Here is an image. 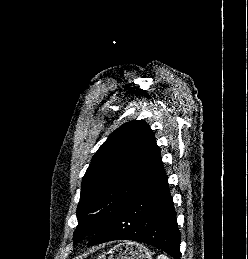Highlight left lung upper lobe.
<instances>
[{"mask_svg": "<svg viewBox=\"0 0 248 259\" xmlns=\"http://www.w3.org/2000/svg\"><path fill=\"white\" fill-rule=\"evenodd\" d=\"M154 133L128 122L100 146L82 181L74 244L101 231L122 210L166 177Z\"/></svg>", "mask_w": 248, "mask_h": 259, "instance_id": "left-lung-upper-lobe-1", "label": "left lung upper lobe"}]
</instances>
